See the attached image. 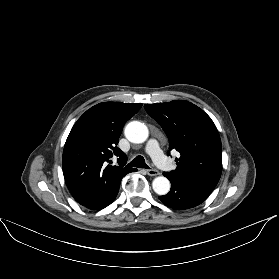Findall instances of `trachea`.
Masks as SVG:
<instances>
[{"label":"trachea","mask_w":279,"mask_h":279,"mask_svg":"<svg viewBox=\"0 0 279 279\" xmlns=\"http://www.w3.org/2000/svg\"><path fill=\"white\" fill-rule=\"evenodd\" d=\"M127 166L150 169L149 166L145 163L144 158L140 155L134 158L129 164H127Z\"/></svg>","instance_id":"obj_1"}]
</instances>
